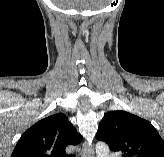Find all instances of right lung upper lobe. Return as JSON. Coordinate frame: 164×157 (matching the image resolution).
<instances>
[{
  "label": "right lung upper lobe",
  "instance_id": "1",
  "mask_svg": "<svg viewBox=\"0 0 164 157\" xmlns=\"http://www.w3.org/2000/svg\"><path fill=\"white\" fill-rule=\"evenodd\" d=\"M82 138L63 113L54 114L30 127L11 157H68L66 147L79 144Z\"/></svg>",
  "mask_w": 164,
  "mask_h": 157
}]
</instances>
